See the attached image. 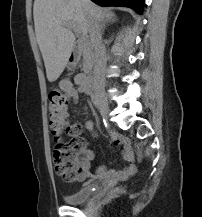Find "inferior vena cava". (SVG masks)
<instances>
[{"label":"inferior vena cava","instance_id":"602c4592","mask_svg":"<svg viewBox=\"0 0 202 217\" xmlns=\"http://www.w3.org/2000/svg\"><path fill=\"white\" fill-rule=\"evenodd\" d=\"M89 35L95 54V64L93 69L94 84L96 87L103 86L105 81L104 73L107 59L105 55V48L102 43L101 28L96 19H91L90 21Z\"/></svg>","mask_w":202,"mask_h":217}]
</instances>
